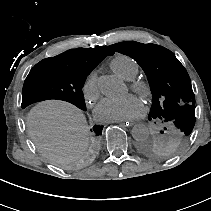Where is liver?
<instances>
[{"label": "liver", "mask_w": 211, "mask_h": 211, "mask_svg": "<svg viewBox=\"0 0 211 211\" xmlns=\"http://www.w3.org/2000/svg\"><path fill=\"white\" fill-rule=\"evenodd\" d=\"M27 126L38 149L53 161L73 163L86 149L89 126L82 112L68 103H39L27 116Z\"/></svg>", "instance_id": "1"}]
</instances>
